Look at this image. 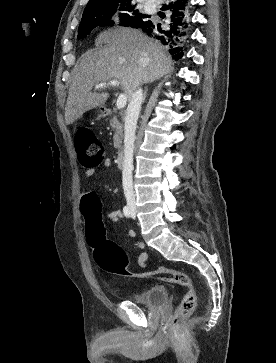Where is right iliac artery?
I'll return each instance as SVG.
<instances>
[{
    "instance_id": "82829eb1",
    "label": "right iliac artery",
    "mask_w": 276,
    "mask_h": 363,
    "mask_svg": "<svg viewBox=\"0 0 276 363\" xmlns=\"http://www.w3.org/2000/svg\"><path fill=\"white\" fill-rule=\"evenodd\" d=\"M123 213H124V215L128 218V217H130V214H131V212H130V209H129V207L128 206H125L124 208H123Z\"/></svg>"
}]
</instances>
